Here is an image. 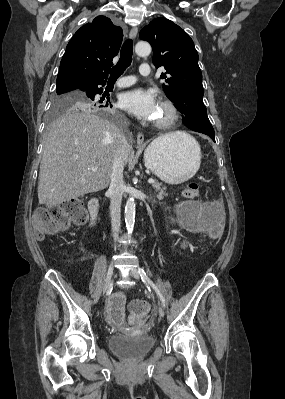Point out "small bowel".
Listing matches in <instances>:
<instances>
[{
  "mask_svg": "<svg viewBox=\"0 0 285 399\" xmlns=\"http://www.w3.org/2000/svg\"><path fill=\"white\" fill-rule=\"evenodd\" d=\"M218 200L206 202L203 205L191 204L180 214V220L173 223L183 227V230L191 235L211 234L215 229L223 230V219L219 213ZM183 222V223H182ZM191 240L183 241L181 246L186 247ZM125 304L126 299L123 293H115L109 299L105 308L107 322L115 329H126L125 326ZM135 326L139 325L140 320L133 319Z\"/></svg>",
  "mask_w": 285,
  "mask_h": 399,
  "instance_id": "obj_1",
  "label": "small bowel"
}]
</instances>
